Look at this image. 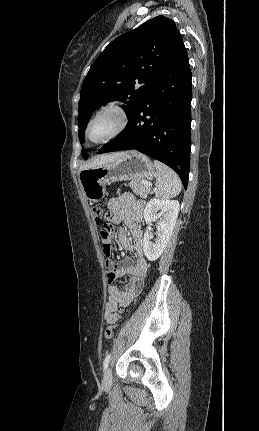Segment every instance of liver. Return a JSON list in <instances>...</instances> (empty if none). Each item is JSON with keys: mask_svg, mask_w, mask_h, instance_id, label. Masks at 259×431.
<instances>
[{"mask_svg": "<svg viewBox=\"0 0 259 431\" xmlns=\"http://www.w3.org/2000/svg\"><path fill=\"white\" fill-rule=\"evenodd\" d=\"M123 154V152L120 153H113V154H103L100 156H96L94 157L91 161L83 164L80 169L79 172L84 170V169H89V168H94L96 166L114 161L115 159H117L118 157H120Z\"/></svg>", "mask_w": 259, "mask_h": 431, "instance_id": "liver-1", "label": "liver"}]
</instances>
